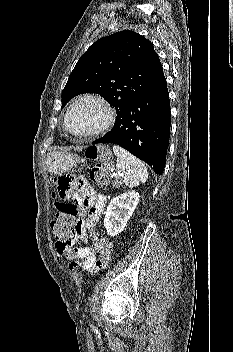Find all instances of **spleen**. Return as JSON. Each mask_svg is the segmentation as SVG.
<instances>
[{"label": "spleen", "mask_w": 233, "mask_h": 352, "mask_svg": "<svg viewBox=\"0 0 233 352\" xmlns=\"http://www.w3.org/2000/svg\"><path fill=\"white\" fill-rule=\"evenodd\" d=\"M113 152L117 156L116 167L123 172V182L126 186L133 188L147 180L148 171L142 161L118 145L113 146Z\"/></svg>", "instance_id": "spleen-1"}]
</instances>
